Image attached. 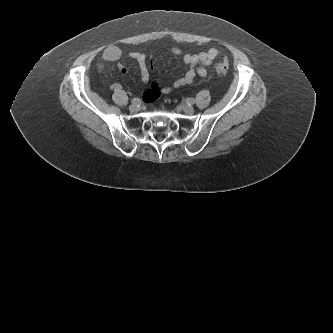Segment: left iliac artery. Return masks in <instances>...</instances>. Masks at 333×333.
Instances as JSON below:
<instances>
[{"label":"left iliac artery","mask_w":333,"mask_h":333,"mask_svg":"<svg viewBox=\"0 0 333 333\" xmlns=\"http://www.w3.org/2000/svg\"><path fill=\"white\" fill-rule=\"evenodd\" d=\"M186 101H187L188 105L195 103V100L193 98H188Z\"/></svg>","instance_id":"44dca946"}]
</instances>
